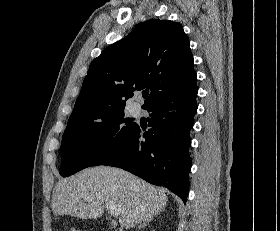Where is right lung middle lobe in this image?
Wrapping results in <instances>:
<instances>
[{
	"instance_id": "obj_1",
	"label": "right lung middle lobe",
	"mask_w": 280,
	"mask_h": 231,
	"mask_svg": "<svg viewBox=\"0 0 280 231\" xmlns=\"http://www.w3.org/2000/svg\"><path fill=\"white\" fill-rule=\"evenodd\" d=\"M136 126L125 117V111L100 118L69 120L62 137L59 173L67 177L101 165Z\"/></svg>"
}]
</instances>
